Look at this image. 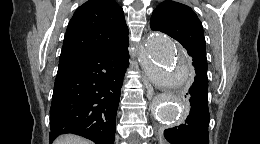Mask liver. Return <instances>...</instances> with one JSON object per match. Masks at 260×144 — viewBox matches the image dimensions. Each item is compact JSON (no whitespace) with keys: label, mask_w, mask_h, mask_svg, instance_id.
Segmentation results:
<instances>
[{"label":"liver","mask_w":260,"mask_h":144,"mask_svg":"<svg viewBox=\"0 0 260 144\" xmlns=\"http://www.w3.org/2000/svg\"><path fill=\"white\" fill-rule=\"evenodd\" d=\"M54 144H92L91 141L78 137L76 135H63L54 141Z\"/></svg>","instance_id":"1"}]
</instances>
